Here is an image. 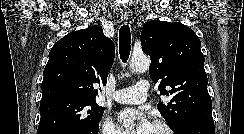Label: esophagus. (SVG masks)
<instances>
[{
	"label": "esophagus",
	"instance_id": "obj_1",
	"mask_svg": "<svg viewBox=\"0 0 244 134\" xmlns=\"http://www.w3.org/2000/svg\"><path fill=\"white\" fill-rule=\"evenodd\" d=\"M120 18L123 23H127L128 19H129L128 14L126 12H121Z\"/></svg>",
	"mask_w": 244,
	"mask_h": 134
}]
</instances>
